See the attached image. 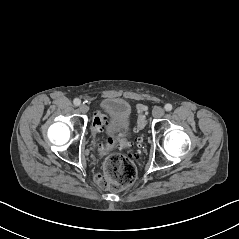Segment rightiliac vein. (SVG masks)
<instances>
[{"label": "right iliac vein", "mask_w": 239, "mask_h": 239, "mask_svg": "<svg viewBox=\"0 0 239 239\" xmlns=\"http://www.w3.org/2000/svg\"><path fill=\"white\" fill-rule=\"evenodd\" d=\"M79 110H80V112L81 113H87L88 112V106L87 105H85V104H81L80 106H79Z\"/></svg>", "instance_id": "right-iliac-vein-1"}]
</instances>
